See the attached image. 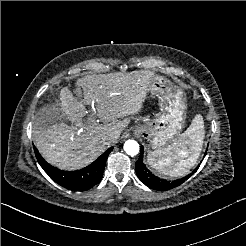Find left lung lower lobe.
Segmentation results:
<instances>
[{
	"mask_svg": "<svg viewBox=\"0 0 246 246\" xmlns=\"http://www.w3.org/2000/svg\"><path fill=\"white\" fill-rule=\"evenodd\" d=\"M136 174L139 179L148 187L156 190H167L172 187L182 184L188 177H184L176 182L163 180L155 176L143 162V147L141 146V154L138 161L135 164ZM196 171V170H195ZM194 171V172H195ZM190 176V175H189Z\"/></svg>",
	"mask_w": 246,
	"mask_h": 246,
	"instance_id": "0a47b994",
	"label": "left lung lower lobe"
}]
</instances>
